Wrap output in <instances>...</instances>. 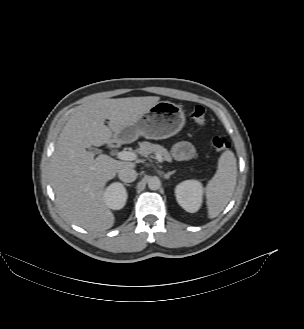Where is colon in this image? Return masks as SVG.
<instances>
[{"mask_svg":"<svg viewBox=\"0 0 304 329\" xmlns=\"http://www.w3.org/2000/svg\"><path fill=\"white\" fill-rule=\"evenodd\" d=\"M191 118L197 124H204L206 121V110L202 106H196L191 112ZM212 146L218 152H225L231 148L230 142L223 136L213 137Z\"/></svg>","mask_w":304,"mask_h":329,"instance_id":"obj_1","label":"colon"}]
</instances>
